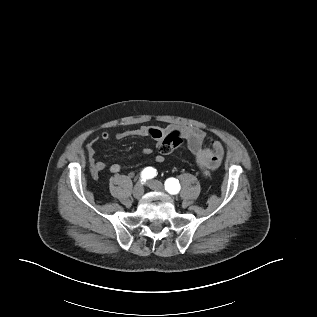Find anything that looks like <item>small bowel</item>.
I'll return each mask as SVG.
<instances>
[{"label": "small bowel", "instance_id": "c3829d8e", "mask_svg": "<svg viewBox=\"0 0 317 317\" xmlns=\"http://www.w3.org/2000/svg\"><path fill=\"white\" fill-rule=\"evenodd\" d=\"M168 129H161L154 126H142L132 130H124L112 135L110 132H103L100 135L102 141H109L112 137L117 140H123L127 138L134 137H145L150 136L154 138L158 145L161 143L164 135L169 132ZM187 142L189 151L195 157V161L198 167L203 171L205 175H210V173L219 167L224 154V146L220 141H212L209 147H204V140L206 133L203 129L195 126H185L179 130ZM88 162L90 167V172L93 177H97L99 173L106 168L112 174H117L121 171V166L117 163L107 165L105 162L99 161L96 158V140L89 143L87 146ZM153 153L151 148H144L142 154L149 156ZM154 160L158 163L164 161V154L159 150L154 155Z\"/></svg>", "mask_w": 317, "mask_h": 317}]
</instances>
